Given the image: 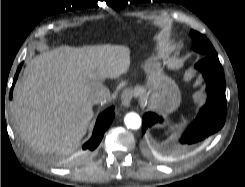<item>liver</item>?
I'll return each instance as SVG.
<instances>
[{"instance_id":"6515ba94","label":"liver","mask_w":245,"mask_h":187,"mask_svg":"<svg viewBox=\"0 0 245 187\" xmlns=\"http://www.w3.org/2000/svg\"><path fill=\"white\" fill-rule=\"evenodd\" d=\"M129 66L130 49L110 44L64 45L30 59L11 107L18 133L40 151L70 150L94 116L91 91Z\"/></svg>"}]
</instances>
